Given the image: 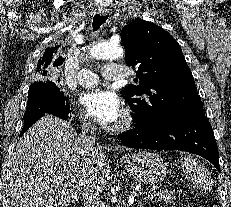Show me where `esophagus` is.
Returning a JSON list of instances; mask_svg holds the SVG:
<instances>
[{
    "mask_svg": "<svg viewBox=\"0 0 231 207\" xmlns=\"http://www.w3.org/2000/svg\"><path fill=\"white\" fill-rule=\"evenodd\" d=\"M99 14H100V15H107V14H108V11H106V10H100V11H99Z\"/></svg>",
    "mask_w": 231,
    "mask_h": 207,
    "instance_id": "obj_1",
    "label": "esophagus"
}]
</instances>
